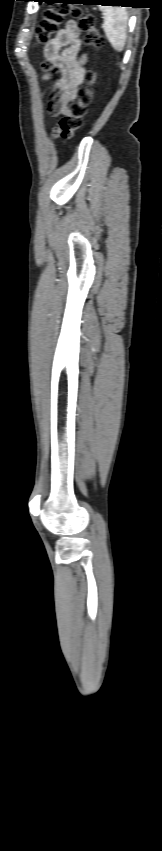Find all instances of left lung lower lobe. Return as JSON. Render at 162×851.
Wrapping results in <instances>:
<instances>
[{"instance_id":"obj_1","label":"left lung lower lobe","mask_w":162,"mask_h":851,"mask_svg":"<svg viewBox=\"0 0 162 851\" xmlns=\"http://www.w3.org/2000/svg\"><path fill=\"white\" fill-rule=\"evenodd\" d=\"M42 1H45L49 4L55 3V0H40V2H42ZM81 1H83V0H72V1L66 2V3H81ZM88 1H90L92 3H104L102 5L111 4V5H121V6H124V4H130L132 2L131 0H88Z\"/></svg>"}]
</instances>
